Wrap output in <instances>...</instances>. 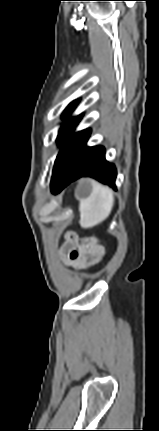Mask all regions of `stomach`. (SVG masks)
Segmentation results:
<instances>
[{"label": "stomach", "mask_w": 159, "mask_h": 431, "mask_svg": "<svg viewBox=\"0 0 159 431\" xmlns=\"http://www.w3.org/2000/svg\"><path fill=\"white\" fill-rule=\"evenodd\" d=\"M94 184L89 180H82L79 182L77 188H76V197L79 200H83L88 198L93 190Z\"/></svg>", "instance_id": "obj_1"}]
</instances>
